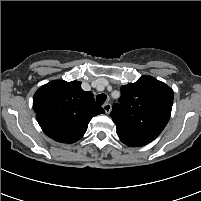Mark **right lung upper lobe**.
<instances>
[{
	"mask_svg": "<svg viewBox=\"0 0 201 201\" xmlns=\"http://www.w3.org/2000/svg\"><path fill=\"white\" fill-rule=\"evenodd\" d=\"M33 109L44 133L55 141L74 143L82 138L92 117L104 113L81 82L54 80L41 86L33 98Z\"/></svg>",
	"mask_w": 201,
	"mask_h": 201,
	"instance_id": "obj_1",
	"label": "right lung upper lobe"
}]
</instances>
